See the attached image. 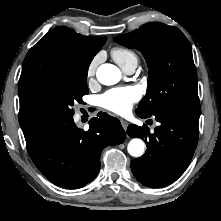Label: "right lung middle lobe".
I'll use <instances>...</instances> for the list:
<instances>
[{"label": "right lung middle lobe", "instance_id": "dd1d6c3e", "mask_svg": "<svg viewBox=\"0 0 221 221\" xmlns=\"http://www.w3.org/2000/svg\"><path fill=\"white\" fill-rule=\"evenodd\" d=\"M91 61L92 58H83L71 67L51 74L26 93L21 103L24 122L73 115L74 102H82V96L89 92L86 79Z\"/></svg>", "mask_w": 221, "mask_h": 221}]
</instances>
